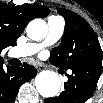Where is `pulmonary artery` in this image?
<instances>
[{
  "label": "pulmonary artery",
  "mask_w": 103,
  "mask_h": 103,
  "mask_svg": "<svg viewBox=\"0 0 103 103\" xmlns=\"http://www.w3.org/2000/svg\"><path fill=\"white\" fill-rule=\"evenodd\" d=\"M65 22L62 17L51 16L48 19V32L45 39L41 43H26L15 47L11 56L16 58H23L34 55L43 47L56 43L63 35Z\"/></svg>",
  "instance_id": "obj_1"
}]
</instances>
